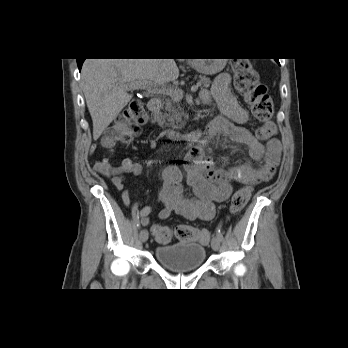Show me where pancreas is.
Instances as JSON below:
<instances>
[{
	"mask_svg": "<svg viewBox=\"0 0 348 348\" xmlns=\"http://www.w3.org/2000/svg\"><path fill=\"white\" fill-rule=\"evenodd\" d=\"M211 84L210 78L200 75L198 86L208 88ZM188 116L185 114L184 109L180 104V100L177 101L174 98H168L166 100L164 112L161 115V123L173 129H182Z\"/></svg>",
	"mask_w": 348,
	"mask_h": 348,
	"instance_id": "obj_1",
	"label": "pancreas"
}]
</instances>
